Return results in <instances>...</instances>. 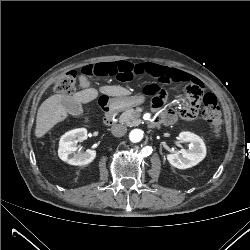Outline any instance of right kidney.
<instances>
[{
	"label": "right kidney",
	"mask_w": 250,
	"mask_h": 250,
	"mask_svg": "<svg viewBox=\"0 0 250 250\" xmlns=\"http://www.w3.org/2000/svg\"><path fill=\"white\" fill-rule=\"evenodd\" d=\"M87 138V129L78 128L66 132L59 141L58 156L70 165H87L96 157V151L87 149L85 152H76L77 143Z\"/></svg>",
	"instance_id": "right-kidney-1"
}]
</instances>
